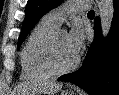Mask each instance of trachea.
<instances>
[{"label":"trachea","instance_id":"obj_1","mask_svg":"<svg viewBox=\"0 0 119 95\" xmlns=\"http://www.w3.org/2000/svg\"><path fill=\"white\" fill-rule=\"evenodd\" d=\"M94 14H95V13H94L93 10H91V11L88 12V16H94Z\"/></svg>","mask_w":119,"mask_h":95}]
</instances>
